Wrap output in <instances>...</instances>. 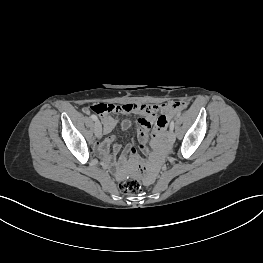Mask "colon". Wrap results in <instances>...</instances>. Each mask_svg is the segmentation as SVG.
<instances>
[{
    "mask_svg": "<svg viewBox=\"0 0 263 263\" xmlns=\"http://www.w3.org/2000/svg\"><path fill=\"white\" fill-rule=\"evenodd\" d=\"M177 103L179 104V109L176 112L181 111L184 108V103L182 102H177ZM168 106H169V103L166 100H163L162 102H157V103L155 102L138 103L137 101H127L122 104H114V103H109L108 105L97 104V105L92 106L91 110L99 115L100 114H113L114 112L116 114H122V115H129V114L138 115V114H145V113L152 114L153 112L155 114H158L159 112H163ZM155 124H156V119H155ZM152 134H153V131H152ZM152 134L150 135V137H152ZM161 144H162V141H161ZM162 154H163V149H162ZM162 154H161V159L163 162ZM119 189L124 194H136L141 190V185L137 179L128 178L119 183Z\"/></svg>",
    "mask_w": 263,
    "mask_h": 263,
    "instance_id": "1",
    "label": "colon"
}]
</instances>
